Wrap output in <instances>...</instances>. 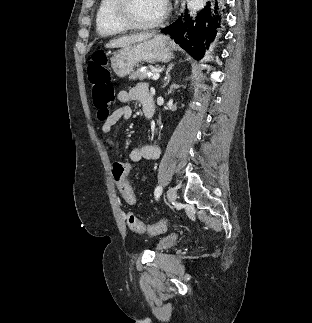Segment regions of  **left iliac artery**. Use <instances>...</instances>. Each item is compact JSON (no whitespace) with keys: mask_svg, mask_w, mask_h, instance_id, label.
<instances>
[{"mask_svg":"<svg viewBox=\"0 0 312 323\" xmlns=\"http://www.w3.org/2000/svg\"><path fill=\"white\" fill-rule=\"evenodd\" d=\"M162 193V186H157L154 192L155 198L158 199Z\"/></svg>","mask_w":312,"mask_h":323,"instance_id":"1","label":"left iliac artery"}]
</instances>
